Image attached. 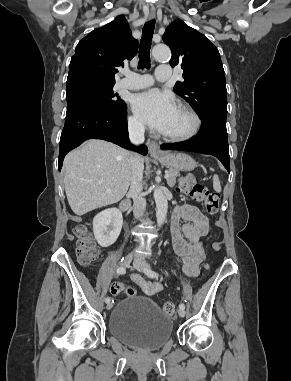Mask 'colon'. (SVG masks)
I'll return each mask as SVG.
<instances>
[{"instance_id":"colon-1","label":"colon","mask_w":291,"mask_h":381,"mask_svg":"<svg viewBox=\"0 0 291 381\" xmlns=\"http://www.w3.org/2000/svg\"><path fill=\"white\" fill-rule=\"evenodd\" d=\"M179 191L190 197L192 200L202 202L206 211L215 215L219 210V198L214 192H210L204 185L196 183L191 178L182 179L178 184ZM74 235L76 236V254L78 260L83 265H91L99 258V253L96 248L95 242L85 225H78L74 228ZM213 237H216V232H213ZM114 295L126 294L129 297L136 295V291L130 287H124L120 283H114L111 287ZM176 307L173 302H166L163 305V312L172 316L175 313Z\"/></svg>"}]
</instances>
